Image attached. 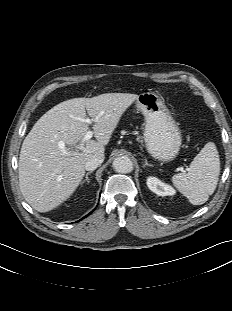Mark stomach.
<instances>
[{
	"label": "stomach",
	"instance_id": "stomach-1",
	"mask_svg": "<svg viewBox=\"0 0 232 311\" xmlns=\"http://www.w3.org/2000/svg\"><path fill=\"white\" fill-rule=\"evenodd\" d=\"M136 107L145 118L143 139L148 153L159 161L174 159L180 151L182 136L164 101L154 93H142Z\"/></svg>",
	"mask_w": 232,
	"mask_h": 311
}]
</instances>
